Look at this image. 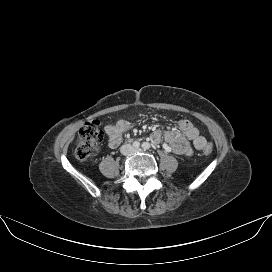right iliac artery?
<instances>
[{"label": "right iliac artery", "instance_id": "82829eb1", "mask_svg": "<svg viewBox=\"0 0 272 272\" xmlns=\"http://www.w3.org/2000/svg\"><path fill=\"white\" fill-rule=\"evenodd\" d=\"M133 146L137 148V147L140 146V143H139L138 141H135V142L133 143Z\"/></svg>", "mask_w": 272, "mask_h": 272}]
</instances>
